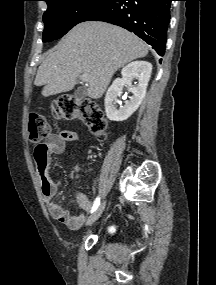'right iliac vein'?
Listing matches in <instances>:
<instances>
[{
	"instance_id": "1",
	"label": "right iliac vein",
	"mask_w": 216,
	"mask_h": 285,
	"mask_svg": "<svg viewBox=\"0 0 216 285\" xmlns=\"http://www.w3.org/2000/svg\"><path fill=\"white\" fill-rule=\"evenodd\" d=\"M105 201H103L99 207L93 212V214L87 219L86 225H92L101 216L105 208Z\"/></svg>"
}]
</instances>
